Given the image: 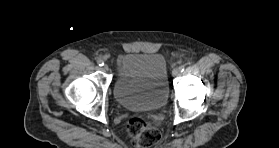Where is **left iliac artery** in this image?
<instances>
[{"label":"left iliac artery","mask_w":279,"mask_h":148,"mask_svg":"<svg viewBox=\"0 0 279 148\" xmlns=\"http://www.w3.org/2000/svg\"><path fill=\"white\" fill-rule=\"evenodd\" d=\"M179 69H180L181 72H183L185 67L184 66H180Z\"/></svg>","instance_id":"obj_1"}]
</instances>
